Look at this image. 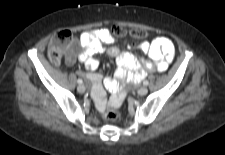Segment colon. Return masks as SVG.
Here are the masks:
<instances>
[{"label":"colon","mask_w":225,"mask_h":155,"mask_svg":"<svg viewBox=\"0 0 225 155\" xmlns=\"http://www.w3.org/2000/svg\"><path fill=\"white\" fill-rule=\"evenodd\" d=\"M110 32L116 41L129 40L130 42L140 45L146 38L147 33L142 29L126 30L120 26H113ZM73 39L70 31H59L52 36L48 45V57L52 63L58 64L63 56L69 54V45ZM104 118L106 121L115 122L118 120L119 115L115 109L110 107V103L104 111Z\"/></svg>","instance_id":"1"}]
</instances>
